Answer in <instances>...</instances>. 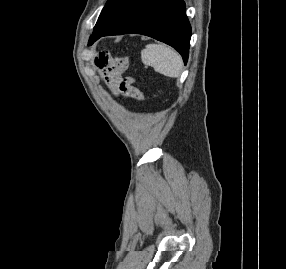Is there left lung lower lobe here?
Returning a JSON list of instances; mask_svg holds the SVG:
<instances>
[{"mask_svg":"<svg viewBox=\"0 0 286 269\" xmlns=\"http://www.w3.org/2000/svg\"><path fill=\"white\" fill-rule=\"evenodd\" d=\"M136 33L150 36L174 47L184 63L188 60L191 26L183 0H143L115 25L95 34L89 44L102 36Z\"/></svg>","mask_w":286,"mask_h":269,"instance_id":"obj_1","label":"left lung lower lobe"}]
</instances>
